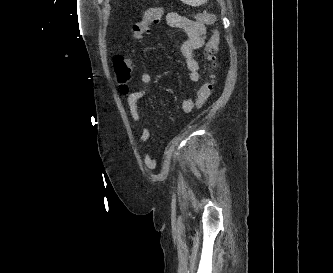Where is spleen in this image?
Masks as SVG:
<instances>
[{
    "label": "spleen",
    "mask_w": 333,
    "mask_h": 273,
    "mask_svg": "<svg viewBox=\"0 0 333 273\" xmlns=\"http://www.w3.org/2000/svg\"><path fill=\"white\" fill-rule=\"evenodd\" d=\"M181 1L191 6H200L206 3L208 0H181Z\"/></svg>",
    "instance_id": "spleen-1"
}]
</instances>
